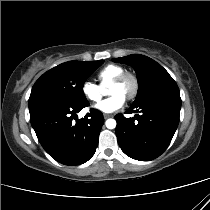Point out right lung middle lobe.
<instances>
[{
  "label": "right lung middle lobe",
  "instance_id": "right-lung-middle-lobe-1",
  "mask_svg": "<svg viewBox=\"0 0 210 210\" xmlns=\"http://www.w3.org/2000/svg\"><path fill=\"white\" fill-rule=\"evenodd\" d=\"M103 62L104 60L69 61L50 69L35 82L29 107L49 100L87 102L83 93L84 82Z\"/></svg>",
  "mask_w": 210,
  "mask_h": 210
}]
</instances>
